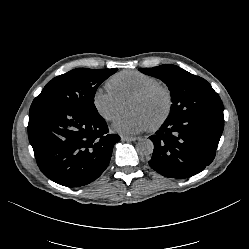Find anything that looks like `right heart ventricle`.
<instances>
[{
    "label": "right heart ventricle",
    "instance_id": "e07e8e85",
    "mask_svg": "<svg viewBox=\"0 0 249 249\" xmlns=\"http://www.w3.org/2000/svg\"><path fill=\"white\" fill-rule=\"evenodd\" d=\"M156 77L136 70L120 71L107 80V87L122 101L143 89L158 84Z\"/></svg>",
    "mask_w": 249,
    "mask_h": 249
}]
</instances>
